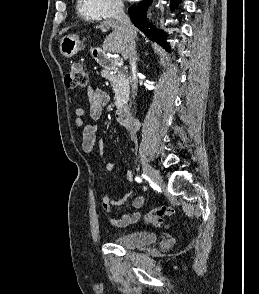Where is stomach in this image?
Returning <instances> with one entry per match:
<instances>
[{"instance_id":"stomach-1","label":"stomach","mask_w":259,"mask_h":294,"mask_svg":"<svg viewBox=\"0 0 259 294\" xmlns=\"http://www.w3.org/2000/svg\"><path fill=\"white\" fill-rule=\"evenodd\" d=\"M83 47V42L77 34L64 36L60 41V52L70 58L77 54Z\"/></svg>"}]
</instances>
